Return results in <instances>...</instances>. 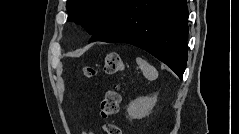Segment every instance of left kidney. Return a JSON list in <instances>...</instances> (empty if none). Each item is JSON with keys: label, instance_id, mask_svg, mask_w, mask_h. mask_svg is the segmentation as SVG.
<instances>
[{"label": "left kidney", "instance_id": "1", "mask_svg": "<svg viewBox=\"0 0 239 134\" xmlns=\"http://www.w3.org/2000/svg\"><path fill=\"white\" fill-rule=\"evenodd\" d=\"M156 102L157 96L137 98L132 101L127 108L129 117L131 119H142L145 116H148L150 111L154 108Z\"/></svg>", "mask_w": 239, "mask_h": 134}]
</instances>
